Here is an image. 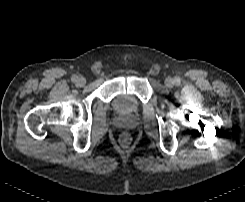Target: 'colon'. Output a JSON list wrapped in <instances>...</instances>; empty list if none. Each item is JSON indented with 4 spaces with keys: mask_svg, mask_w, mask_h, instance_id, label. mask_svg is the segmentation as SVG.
I'll return each instance as SVG.
<instances>
[{
    "mask_svg": "<svg viewBox=\"0 0 245 202\" xmlns=\"http://www.w3.org/2000/svg\"><path fill=\"white\" fill-rule=\"evenodd\" d=\"M122 142L124 143V144H127V143H130V141H131V137H130V135L129 134H124L123 136H122Z\"/></svg>",
    "mask_w": 245,
    "mask_h": 202,
    "instance_id": "colon-1",
    "label": "colon"
}]
</instances>
